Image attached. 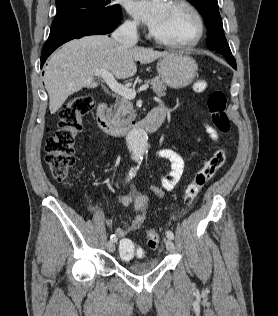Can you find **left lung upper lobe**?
I'll list each match as a JSON object with an SVG mask.
<instances>
[{
	"mask_svg": "<svg viewBox=\"0 0 278 316\" xmlns=\"http://www.w3.org/2000/svg\"><path fill=\"white\" fill-rule=\"evenodd\" d=\"M201 13L208 29L207 46L210 50H214L222 54L227 62L236 67V61L231 53L223 32V23L218 10L217 0H188Z\"/></svg>",
	"mask_w": 278,
	"mask_h": 316,
	"instance_id": "5c2ea615",
	"label": "left lung upper lobe"
}]
</instances>
